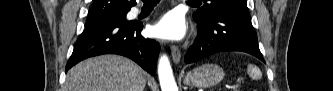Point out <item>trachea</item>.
<instances>
[{"label": "trachea", "mask_w": 333, "mask_h": 91, "mask_svg": "<svg viewBox=\"0 0 333 91\" xmlns=\"http://www.w3.org/2000/svg\"><path fill=\"white\" fill-rule=\"evenodd\" d=\"M144 3H153V4H157L159 2V0H143ZM188 2H192V0L188 1Z\"/></svg>", "instance_id": "3493384b"}]
</instances>
